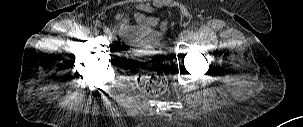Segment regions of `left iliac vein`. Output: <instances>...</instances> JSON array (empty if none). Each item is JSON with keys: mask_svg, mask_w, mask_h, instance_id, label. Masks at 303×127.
<instances>
[{"mask_svg": "<svg viewBox=\"0 0 303 127\" xmlns=\"http://www.w3.org/2000/svg\"><path fill=\"white\" fill-rule=\"evenodd\" d=\"M180 40L184 41L186 39V34L185 32H182L179 36Z\"/></svg>", "mask_w": 303, "mask_h": 127, "instance_id": "obj_1", "label": "left iliac vein"}]
</instances>
